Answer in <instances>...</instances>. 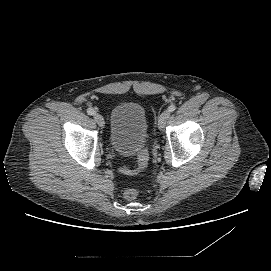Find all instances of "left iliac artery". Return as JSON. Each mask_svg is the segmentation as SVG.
Masks as SVG:
<instances>
[{
	"label": "left iliac artery",
	"instance_id": "1",
	"mask_svg": "<svg viewBox=\"0 0 271 271\" xmlns=\"http://www.w3.org/2000/svg\"><path fill=\"white\" fill-rule=\"evenodd\" d=\"M175 109H176V106H175V105H170V106L168 107V111H169V112H173V111H175Z\"/></svg>",
	"mask_w": 271,
	"mask_h": 271
}]
</instances>
